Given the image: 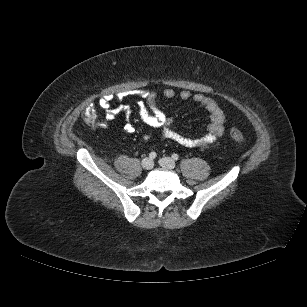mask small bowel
<instances>
[{"mask_svg":"<svg viewBox=\"0 0 307 307\" xmlns=\"http://www.w3.org/2000/svg\"><path fill=\"white\" fill-rule=\"evenodd\" d=\"M175 91L166 89L163 91L165 98L175 97ZM141 98L138 103V111L142 121L148 126L158 129L163 137L173 140L174 142L185 147L206 148L212 145L224 133L225 116L218 104L211 98L202 94L192 95L190 91L183 90L179 93L182 100L193 99L199 104L209 115V124L206 132L198 138H189L177 132L173 127V119L167 116L157 107V93L154 91L143 90L138 93ZM113 97L111 95L103 96L99 99L98 104L105 112V120L98 124L101 128H106L108 122H112L119 113H125L127 117L130 115L129 108L119 106L113 108L111 106ZM124 130L131 134L135 128L130 121L124 125Z\"/></svg>","mask_w":307,"mask_h":307,"instance_id":"small-bowel-1","label":"small bowel"}]
</instances>
